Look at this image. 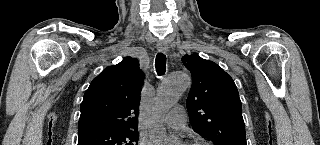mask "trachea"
I'll use <instances>...</instances> for the list:
<instances>
[{
  "instance_id": "obj_1",
  "label": "trachea",
  "mask_w": 320,
  "mask_h": 145,
  "mask_svg": "<svg viewBox=\"0 0 320 145\" xmlns=\"http://www.w3.org/2000/svg\"><path fill=\"white\" fill-rule=\"evenodd\" d=\"M155 68L159 76L163 75L166 71V56L163 53H158L155 59Z\"/></svg>"
}]
</instances>
